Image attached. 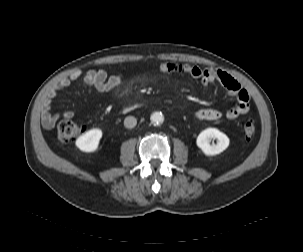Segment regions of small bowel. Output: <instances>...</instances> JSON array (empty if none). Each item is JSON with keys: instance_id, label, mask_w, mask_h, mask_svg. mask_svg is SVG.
Listing matches in <instances>:
<instances>
[{"instance_id": "small-bowel-1", "label": "small bowel", "mask_w": 303, "mask_h": 252, "mask_svg": "<svg viewBox=\"0 0 303 252\" xmlns=\"http://www.w3.org/2000/svg\"><path fill=\"white\" fill-rule=\"evenodd\" d=\"M163 73H172L187 76L198 81L203 86H210L214 82H219L226 93L236 99V104L230 108L224 115L215 109H200L195 113V117L202 121L216 122L223 118L234 120L240 115H244L250 110L249 94L241 84L229 74L212 67H200L193 64L164 62L160 65ZM78 79H82L86 84L92 85L101 92L111 91L123 82L122 74L109 75L105 70H88L86 72L77 70L59 80L48 92L44 102L41 114L42 125L47 128H53L56 122L61 118H72L73 112L64 111L62 113L52 112V100L57 91L69 87Z\"/></svg>"}]
</instances>
